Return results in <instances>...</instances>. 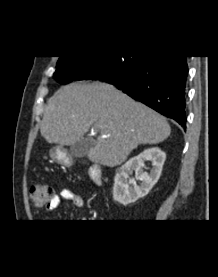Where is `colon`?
<instances>
[{
  "label": "colon",
  "instance_id": "5ec220e1",
  "mask_svg": "<svg viewBox=\"0 0 218 277\" xmlns=\"http://www.w3.org/2000/svg\"><path fill=\"white\" fill-rule=\"evenodd\" d=\"M54 197L53 189L43 183H35L30 187V199L36 208L46 207Z\"/></svg>",
  "mask_w": 218,
  "mask_h": 277
}]
</instances>
